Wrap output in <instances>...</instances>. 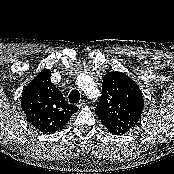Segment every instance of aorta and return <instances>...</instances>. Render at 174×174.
<instances>
[{
	"label": "aorta",
	"mask_w": 174,
	"mask_h": 174,
	"mask_svg": "<svg viewBox=\"0 0 174 174\" xmlns=\"http://www.w3.org/2000/svg\"><path fill=\"white\" fill-rule=\"evenodd\" d=\"M92 81L87 75H82L77 78V85L84 91L89 92V87L91 85Z\"/></svg>",
	"instance_id": "obj_1"
}]
</instances>
